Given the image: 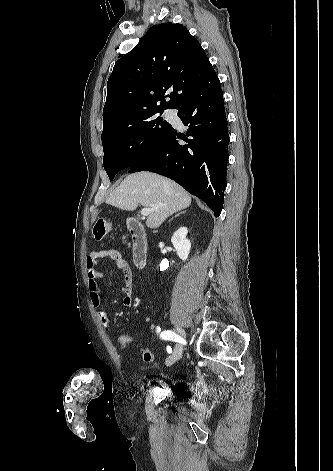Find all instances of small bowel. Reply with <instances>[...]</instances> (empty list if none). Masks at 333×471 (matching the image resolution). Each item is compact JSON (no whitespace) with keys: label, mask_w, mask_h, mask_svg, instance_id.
<instances>
[{"label":"small bowel","mask_w":333,"mask_h":471,"mask_svg":"<svg viewBox=\"0 0 333 471\" xmlns=\"http://www.w3.org/2000/svg\"><path fill=\"white\" fill-rule=\"evenodd\" d=\"M103 260L113 262L116 266L117 271L122 276V292L124 294L122 304L123 307L126 309L130 308L133 302V278L132 270L128 262L117 250L104 249L99 251H93L86 258V271L88 277V289L90 294V300L92 305L98 308L97 316L100 322L105 327H109V314L105 309L101 308L102 299L99 281L102 278V274L96 269V265L98 264V262ZM145 320L149 322L150 318L146 317Z\"/></svg>","instance_id":"small-bowel-1"}]
</instances>
